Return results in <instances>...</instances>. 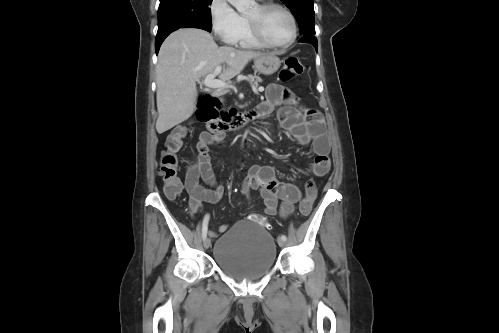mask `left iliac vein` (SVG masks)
<instances>
[{"label":"left iliac vein","instance_id":"1","mask_svg":"<svg viewBox=\"0 0 499 333\" xmlns=\"http://www.w3.org/2000/svg\"><path fill=\"white\" fill-rule=\"evenodd\" d=\"M277 243L280 247H284L285 246V241L282 239V238H278L277 239Z\"/></svg>","mask_w":499,"mask_h":333}]
</instances>
